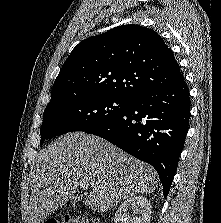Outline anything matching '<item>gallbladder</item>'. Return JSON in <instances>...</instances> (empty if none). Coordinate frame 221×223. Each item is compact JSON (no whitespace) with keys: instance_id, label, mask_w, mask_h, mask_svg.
<instances>
[{"instance_id":"obj_1","label":"gallbladder","mask_w":221,"mask_h":223,"mask_svg":"<svg viewBox=\"0 0 221 223\" xmlns=\"http://www.w3.org/2000/svg\"><path fill=\"white\" fill-rule=\"evenodd\" d=\"M79 197L78 196H74L72 199H71V202L73 203V204H75V203H77L78 201H79Z\"/></svg>"}]
</instances>
